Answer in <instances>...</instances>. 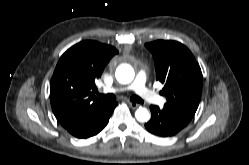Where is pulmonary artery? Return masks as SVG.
Here are the masks:
<instances>
[{
	"mask_svg": "<svg viewBox=\"0 0 249 165\" xmlns=\"http://www.w3.org/2000/svg\"><path fill=\"white\" fill-rule=\"evenodd\" d=\"M115 91H135L143 100L153 104H163L164 99L146 86V75L139 72L133 83L127 86L116 88Z\"/></svg>",
	"mask_w": 249,
	"mask_h": 165,
	"instance_id": "1",
	"label": "pulmonary artery"
}]
</instances>
